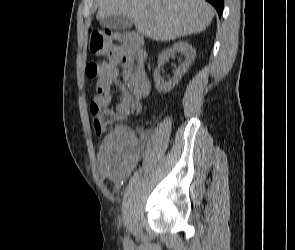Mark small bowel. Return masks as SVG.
I'll list each match as a JSON object with an SVG mask.
<instances>
[{"instance_id":"1","label":"small bowel","mask_w":295,"mask_h":250,"mask_svg":"<svg viewBox=\"0 0 295 250\" xmlns=\"http://www.w3.org/2000/svg\"><path fill=\"white\" fill-rule=\"evenodd\" d=\"M113 84L122 91L117 109H137L139 112L151 88L145 53L133 54L123 44L112 48L105 69L96 82L93 103L99 108L106 109L112 102ZM133 147V138L123 127L115 129L103 140L99 166L103 175L114 184H120L128 175Z\"/></svg>"}]
</instances>
